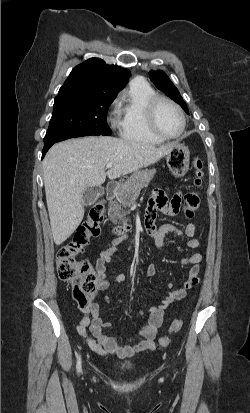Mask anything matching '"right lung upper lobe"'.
<instances>
[{"mask_svg":"<svg viewBox=\"0 0 250 413\" xmlns=\"http://www.w3.org/2000/svg\"><path fill=\"white\" fill-rule=\"evenodd\" d=\"M130 76V71L125 68L108 65L99 58H91L73 68L61 88L78 87L117 94Z\"/></svg>","mask_w":250,"mask_h":413,"instance_id":"1","label":"right lung upper lobe"}]
</instances>
